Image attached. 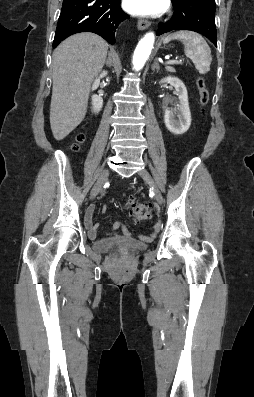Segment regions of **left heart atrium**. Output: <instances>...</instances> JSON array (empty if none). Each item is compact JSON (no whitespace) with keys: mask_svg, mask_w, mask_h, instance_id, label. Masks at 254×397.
I'll list each match as a JSON object with an SVG mask.
<instances>
[{"mask_svg":"<svg viewBox=\"0 0 254 397\" xmlns=\"http://www.w3.org/2000/svg\"><path fill=\"white\" fill-rule=\"evenodd\" d=\"M167 0H123L124 9L134 15L155 16L162 13Z\"/></svg>","mask_w":254,"mask_h":397,"instance_id":"obj_1","label":"left heart atrium"}]
</instances>
